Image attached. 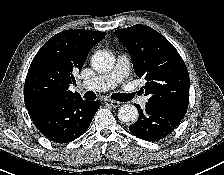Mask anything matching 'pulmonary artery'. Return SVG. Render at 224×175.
<instances>
[{"instance_id": "pulmonary-artery-1", "label": "pulmonary artery", "mask_w": 224, "mask_h": 175, "mask_svg": "<svg viewBox=\"0 0 224 175\" xmlns=\"http://www.w3.org/2000/svg\"><path fill=\"white\" fill-rule=\"evenodd\" d=\"M130 59L125 55L118 57L115 67L107 74L83 81L80 86L96 92L109 90L124 82L130 70ZM142 104L147 103V98L141 99Z\"/></svg>"}]
</instances>
